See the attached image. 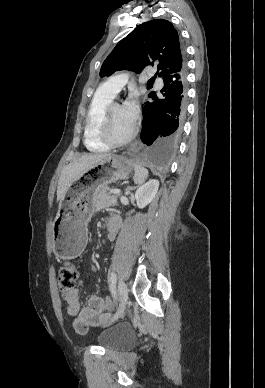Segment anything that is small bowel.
Masks as SVG:
<instances>
[{
	"label": "small bowel",
	"instance_id": "1",
	"mask_svg": "<svg viewBox=\"0 0 265 388\" xmlns=\"http://www.w3.org/2000/svg\"><path fill=\"white\" fill-rule=\"evenodd\" d=\"M109 219L116 221V228L112 232H108L109 239H114L120 221L117 216H111ZM66 312L69 316L74 317V329L78 333H85L90 326H99L109 318V312L105 305L104 299L91 295L88 298L87 304L82 306L80 302V291L74 288L66 295Z\"/></svg>",
	"mask_w": 265,
	"mask_h": 388
}]
</instances>
